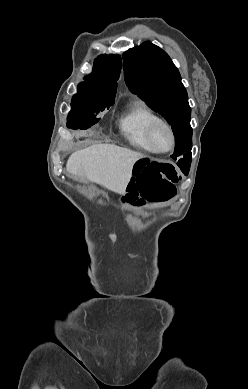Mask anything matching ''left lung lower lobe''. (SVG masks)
I'll use <instances>...</instances> for the list:
<instances>
[{"label":"left lung lower lobe","mask_w":248,"mask_h":389,"mask_svg":"<svg viewBox=\"0 0 248 389\" xmlns=\"http://www.w3.org/2000/svg\"><path fill=\"white\" fill-rule=\"evenodd\" d=\"M190 163L191 153L183 155V157H181V159L177 162V165L185 175H188Z\"/></svg>","instance_id":"0a47b994"}]
</instances>
